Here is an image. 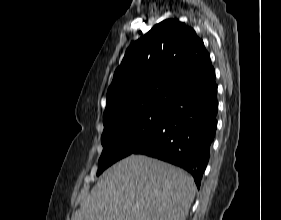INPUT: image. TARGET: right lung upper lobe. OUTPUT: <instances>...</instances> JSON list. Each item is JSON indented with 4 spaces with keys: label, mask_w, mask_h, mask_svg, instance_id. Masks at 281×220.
<instances>
[{
    "label": "right lung upper lobe",
    "mask_w": 281,
    "mask_h": 220,
    "mask_svg": "<svg viewBox=\"0 0 281 220\" xmlns=\"http://www.w3.org/2000/svg\"><path fill=\"white\" fill-rule=\"evenodd\" d=\"M215 83V70L196 32L175 19L156 24L126 50L107 91L104 126L126 115L166 110Z\"/></svg>",
    "instance_id": "right-lung-upper-lobe-1"
}]
</instances>
